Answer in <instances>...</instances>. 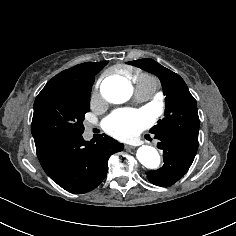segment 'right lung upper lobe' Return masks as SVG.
Listing matches in <instances>:
<instances>
[{"label": "right lung upper lobe", "mask_w": 236, "mask_h": 236, "mask_svg": "<svg viewBox=\"0 0 236 236\" xmlns=\"http://www.w3.org/2000/svg\"><path fill=\"white\" fill-rule=\"evenodd\" d=\"M108 61L86 62L73 66L54 76L42 89L54 92H91L94 76L99 73Z\"/></svg>", "instance_id": "right-lung-upper-lobe-1"}]
</instances>
